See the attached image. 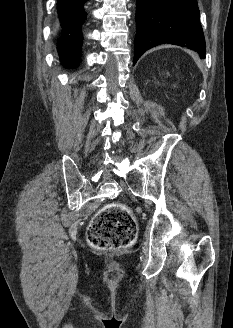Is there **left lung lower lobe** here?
<instances>
[{
  "mask_svg": "<svg viewBox=\"0 0 233 328\" xmlns=\"http://www.w3.org/2000/svg\"><path fill=\"white\" fill-rule=\"evenodd\" d=\"M196 0H137L133 65L148 49L170 43L206 52Z\"/></svg>",
  "mask_w": 233,
  "mask_h": 328,
  "instance_id": "obj_1",
  "label": "left lung lower lobe"
}]
</instances>
